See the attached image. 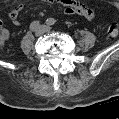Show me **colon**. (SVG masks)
Returning <instances> with one entry per match:
<instances>
[{
  "label": "colon",
  "mask_w": 119,
  "mask_h": 119,
  "mask_svg": "<svg viewBox=\"0 0 119 119\" xmlns=\"http://www.w3.org/2000/svg\"><path fill=\"white\" fill-rule=\"evenodd\" d=\"M119 33V26L116 22H111L107 29V35L109 38H115ZM0 39H2V34L0 33Z\"/></svg>",
  "instance_id": "5ec220e1"
}]
</instances>
